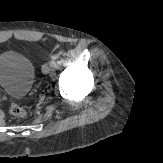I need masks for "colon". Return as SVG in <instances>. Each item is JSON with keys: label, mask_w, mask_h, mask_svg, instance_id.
Returning a JSON list of instances; mask_svg holds the SVG:
<instances>
[{"label": "colon", "mask_w": 163, "mask_h": 163, "mask_svg": "<svg viewBox=\"0 0 163 163\" xmlns=\"http://www.w3.org/2000/svg\"><path fill=\"white\" fill-rule=\"evenodd\" d=\"M9 111L15 117L23 118L26 116V110L18 104H11Z\"/></svg>", "instance_id": "5ec220e1"}]
</instances>
